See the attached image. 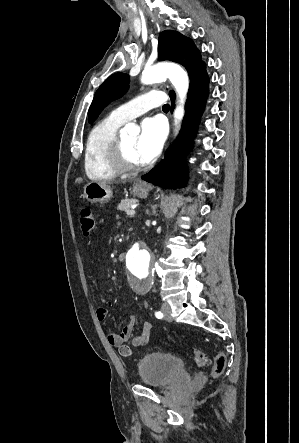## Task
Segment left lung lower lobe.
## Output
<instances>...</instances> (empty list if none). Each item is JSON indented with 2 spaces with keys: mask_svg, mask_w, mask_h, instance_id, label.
Wrapping results in <instances>:
<instances>
[{
  "mask_svg": "<svg viewBox=\"0 0 299 443\" xmlns=\"http://www.w3.org/2000/svg\"><path fill=\"white\" fill-rule=\"evenodd\" d=\"M209 79L203 64L191 77L188 98L185 105L186 115L182 130L176 143L166 152L165 159L141 178L165 188H179L185 185L186 169L183 158L187 147V135L194 133L208 96ZM172 101L175 94L170 95ZM174 104L172 103V109Z\"/></svg>",
  "mask_w": 299,
  "mask_h": 443,
  "instance_id": "obj_1",
  "label": "left lung lower lobe"
}]
</instances>
